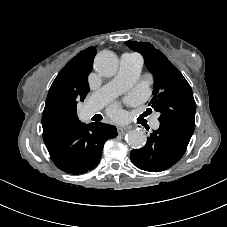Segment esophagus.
<instances>
[{
	"instance_id": "obj_1",
	"label": "esophagus",
	"mask_w": 227,
	"mask_h": 227,
	"mask_svg": "<svg viewBox=\"0 0 227 227\" xmlns=\"http://www.w3.org/2000/svg\"><path fill=\"white\" fill-rule=\"evenodd\" d=\"M128 130H129L128 127H121L120 126V127L117 128L118 134H120V135L125 134Z\"/></svg>"
}]
</instances>
